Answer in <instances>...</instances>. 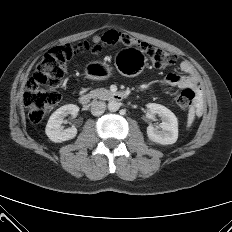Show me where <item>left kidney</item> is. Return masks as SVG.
I'll list each match as a JSON object with an SVG mask.
<instances>
[{"label": "left kidney", "mask_w": 232, "mask_h": 232, "mask_svg": "<svg viewBox=\"0 0 232 232\" xmlns=\"http://www.w3.org/2000/svg\"><path fill=\"white\" fill-rule=\"evenodd\" d=\"M147 108L150 114H158L162 120L160 124L162 130H157L151 125L147 127L149 140L162 145L175 143L178 138V121L175 114L165 106L156 103H149Z\"/></svg>", "instance_id": "5707ae66"}]
</instances>
